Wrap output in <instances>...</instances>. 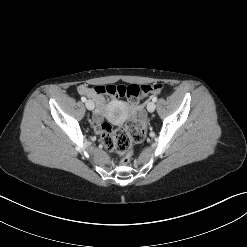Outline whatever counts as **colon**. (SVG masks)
Masks as SVG:
<instances>
[{"label":"colon","instance_id":"1","mask_svg":"<svg viewBox=\"0 0 247 247\" xmlns=\"http://www.w3.org/2000/svg\"><path fill=\"white\" fill-rule=\"evenodd\" d=\"M161 84L144 85H107L103 90L116 97H126L131 105H138L141 98L162 93ZM96 94L102 93L101 87L95 88ZM101 141L105 148L119 154L122 164L130 160L132 148L135 143L141 142L146 135V125L139 119H131L124 128L113 129L108 123L99 127Z\"/></svg>","mask_w":247,"mask_h":247}]
</instances>
